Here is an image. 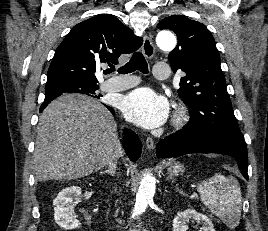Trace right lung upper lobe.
I'll return each instance as SVG.
<instances>
[{"label":"right lung upper lobe","mask_w":268,"mask_h":231,"mask_svg":"<svg viewBox=\"0 0 268 231\" xmlns=\"http://www.w3.org/2000/svg\"><path fill=\"white\" fill-rule=\"evenodd\" d=\"M143 43L119 19L99 15L75 25L58 46L47 72V83L74 81L97 84L95 72L101 63H118L123 53H132ZM52 99H45V108Z\"/></svg>","instance_id":"right-lung-upper-lobe-1"}]
</instances>
